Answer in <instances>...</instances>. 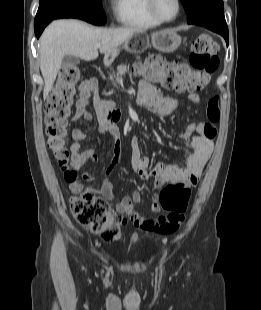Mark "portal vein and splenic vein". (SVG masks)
<instances>
[{
    "label": "portal vein and splenic vein",
    "mask_w": 261,
    "mask_h": 310,
    "mask_svg": "<svg viewBox=\"0 0 261 310\" xmlns=\"http://www.w3.org/2000/svg\"><path fill=\"white\" fill-rule=\"evenodd\" d=\"M96 47H97V48L101 47V44H97Z\"/></svg>",
    "instance_id": "1"
}]
</instances>
